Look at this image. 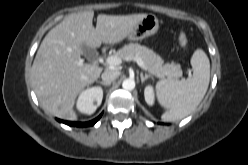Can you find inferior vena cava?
<instances>
[{"instance_id":"602c4592","label":"inferior vena cava","mask_w":248,"mask_h":165,"mask_svg":"<svg viewBox=\"0 0 248 165\" xmlns=\"http://www.w3.org/2000/svg\"><path fill=\"white\" fill-rule=\"evenodd\" d=\"M120 75V72L115 69H106L102 75L101 78L103 82L111 83L113 82L118 76Z\"/></svg>"}]
</instances>
